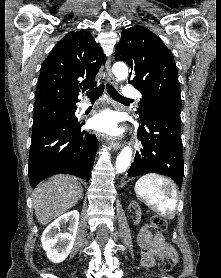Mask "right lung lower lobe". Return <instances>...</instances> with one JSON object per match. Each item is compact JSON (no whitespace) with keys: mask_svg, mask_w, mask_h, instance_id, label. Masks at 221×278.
Here are the masks:
<instances>
[{"mask_svg":"<svg viewBox=\"0 0 221 278\" xmlns=\"http://www.w3.org/2000/svg\"><path fill=\"white\" fill-rule=\"evenodd\" d=\"M83 124L76 117L54 118L33 127L28 161L31 187L59 173L90 179L98 140L81 131Z\"/></svg>","mask_w":221,"mask_h":278,"instance_id":"1","label":"right lung lower lobe"}]
</instances>
